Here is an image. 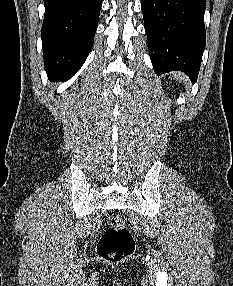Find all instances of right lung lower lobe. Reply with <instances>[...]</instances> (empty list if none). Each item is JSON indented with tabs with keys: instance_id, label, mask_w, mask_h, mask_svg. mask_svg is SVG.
Here are the masks:
<instances>
[{
	"instance_id": "right-lung-lower-lobe-1",
	"label": "right lung lower lobe",
	"mask_w": 233,
	"mask_h": 286,
	"mask_svg": "<svg viewBox=\"0 0 233 286\" xmlns=\"http://www.w3.org/2000/svg\"><path fill=\"white\" fill-rule=\"evenodd\" d=\"M102 0H44L41 30L49 78L68 79L86 60L94 41Z\"/></svg>"
}]
</instances>
